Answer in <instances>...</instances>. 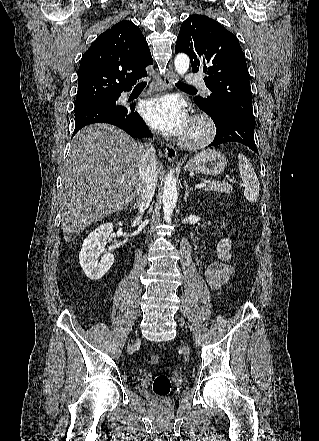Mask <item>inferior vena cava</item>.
Segmentation results:
<instances>
[{
    "mask_svg": "<svg viewBox=\"0 0 319 441\" xmlns=\"http://www.w3.org/2000/svg\"><path fill=\"white\" fill-rule=\"evenodd\" d=\"M142 156L139 164V185L136 194L139 213L146 210L154 196L157 185L156 151L151 144H142L139 147Z\"/></svg>",
    "mask_w": 319,
    "mask_h": 441,
    "instance_id": "602c4592",
    "label": "inferior vena cava"
}]
</instances>
